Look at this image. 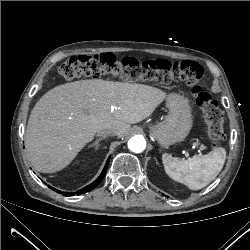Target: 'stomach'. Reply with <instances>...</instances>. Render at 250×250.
I'll return each mask as SVG.
<instances>
[{
    "mask_svg": "<svg viewBox=\"0 0 250 250\" xmlns=\"http://www.w3.org/2000/svg\"><path fill=\"white\" fill-rule=\"evenodd\" d=\"M168 115L150 126V133L162 145L169 146L184 140L192 127V113L189 102L179 94L167 97Z\"/></svg>",
    "mask_w": 250,
    "mask_h": 250,
    "instance_id": "obj_1",
    "label": "stomach"
}]
</instances>
